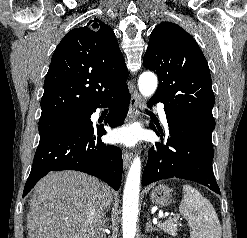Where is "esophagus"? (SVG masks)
Masks as SVG:
<instances>
[{
  "label": "esophagus",
  "instance_id": "esophagus-1",
  "mask_svg": "<svg viewBox=\"0 0 247 238\" xmlns=\"http://www.w3.org/2000/svg\"><path fill=\"white\" fill-rule=\"evenodd\" d=\"M142 102V97L141 95L137 92L134 91L131 100H130V106H129V120H135L136 117L139 114V106ZM123 165L124 169H128L130 162H131V153L127 150L123 151Z\"/></svg>",
  "mask_w": 247,
  "mask_h": 238
}]
</instances>
